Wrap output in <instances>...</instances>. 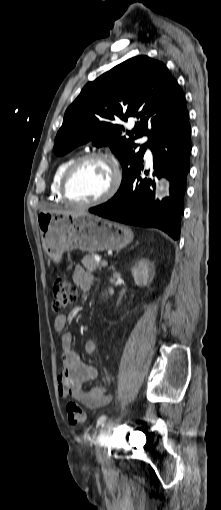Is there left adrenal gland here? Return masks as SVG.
Returning a JSON list of instances; mask_svg holds the SVG:
<instances>
[{"label":"left adrenal gland","mask_w":221,"mask_h":510,"mask_svg":"<svg viewBox=\"0 0 221 510\" xmlns=\"http://www.w3.org/2000/svg\"><path fill=\"white\" fill-rule=\"evenodd\" d=\"M136 245H138V242H136L135 246H136ZM133 248H134V246H132V247H131V249H133Z\"/></svg>","instance_id":"a2214340"}]
</instances>
